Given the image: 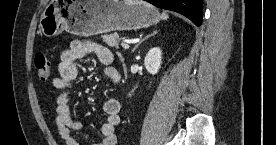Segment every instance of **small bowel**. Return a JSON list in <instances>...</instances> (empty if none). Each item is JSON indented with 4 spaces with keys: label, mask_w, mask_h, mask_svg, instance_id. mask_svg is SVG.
<instances>
[{
    "label": "small bowel",
    "mask_w": 276,
    "mask_h": 145,
    "mask_svg": "<svg viewBox=\"0 0 276 145\" xmlns=\"http://www.w3.org/2000/svg\"><path fill=\"white\" fill-rule=\"evenodd\" d=\"M90 53H95L105 65L103 76L106 80L115 82L119 79L118 71L111 66L114 56L112 52L100 45L86 40H74L69 48L61 54L58 65L59 76L53 79V86L57 89L55 97V123L59 135L66 145H79L72 132L80 130L83 123L73 117L70 107V92L78 77V61ZM121 105L116 98H108L104 102V112L107 116L102 125V140L99 145H116L115 128L121 121Z\"/></svg>",
    "instance_id": "obj_1"
}]
</instances>
